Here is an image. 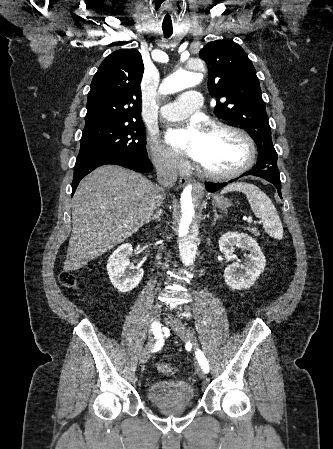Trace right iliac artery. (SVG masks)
Wrapping results in <instances>:
<instances>
[{
  "instance_id": "1",
  "label": "right iliac artery",
  "mask_w": 333,
  "mask_h": 449,
  "mask_svg": "<svg viewBox=\"0 0 333 449\" xmlns=\"http://www.w3.org/2000/svg\"><path fill=\"white\" fill-rule=\"evenodd\" d=\"M151 330L153 331V333L155 335V338L158 339V341L155 343V346H154V349H153V352H156L159 349H161V347L163 345L162 340H161L160 325L158 323L157 324H152V329Z\"/></svg>"
}]
</instances>
